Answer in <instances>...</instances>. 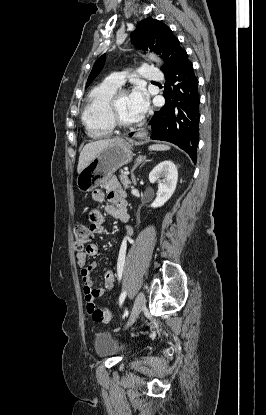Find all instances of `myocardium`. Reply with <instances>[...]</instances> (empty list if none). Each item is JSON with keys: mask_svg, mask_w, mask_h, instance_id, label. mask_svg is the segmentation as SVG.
Masks as SVG:
<instances>
[{"mask_svg": "<svg viewBox=\"0 0 266 415\" xmlns=\"http://www.w3.org/2000/svg\"><path fill=\"white\" fill-rule=\"evenodd\" d=\"M127 93L128 91L125 89L116 90L109 100L108 108H109V116L114 127L119 128V129H124V130H131V129L137 128L143 123V117H141L139 120L133 123H126L123 120H121V118L119 117L117 113L116 103L120 96L127 94Z\"/></svg>", "mask_w": 266, "mask_h": 415, "instance_id": "f54148a6", "label": "myocardium"}]
</instances>
